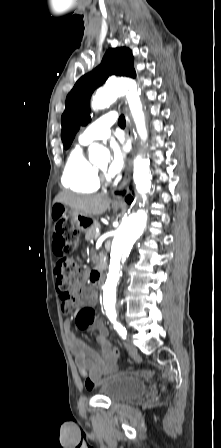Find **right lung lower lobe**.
<instances>
[{
	"label": "right lung lower lobe",
	"instance_id": "1",
	"mask_svg": "<svg viewBox=\"0 0 221 448\" xmlns=\"http://www.w3.org/2000/svg\"><path fill=\"white\" fill-rule=\"evenodd\" d=\"M132 200H133V198H132L130 195H128V196L126 197V201H127L128 203H131Z\"/></svg>",
	"mask_w": 221,
	"mask_h": 448
}]
</instances>
